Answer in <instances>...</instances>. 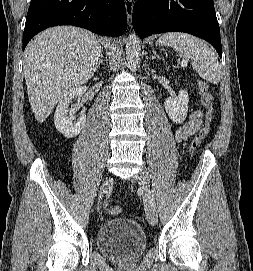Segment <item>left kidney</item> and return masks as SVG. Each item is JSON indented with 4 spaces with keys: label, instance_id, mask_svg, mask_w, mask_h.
Here are the masks:
<instances>
[{
    "label": "left kidney",
    "instance_id": "left-kidney-1",
    "mask_svg": "<svg viewBox=\"0 0 253 271\" xmlns=\"http://www.w3.org/2000/svg\"><path fill=\"white\" fill-rule=\"evenodd\" d=\"M189 96L187 91L180 90L177 96L168 97L165 102V110L170 119L175 123L185 121L188 113Z\"/></svg>",
    "mask_w": 253,
    "mask_h": 271
}]
</instances>
